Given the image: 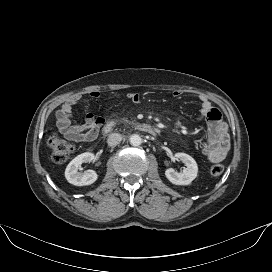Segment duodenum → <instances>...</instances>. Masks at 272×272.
Here are the masks:
<instances>
[{"label":"duodenum","instance_id":"duodenum-1","mask_svg":"<svg viewBox=\"0 0 272 272\" xmlns=\"http://www.w3.org/2000/svg\"><path fill=\"white\" fill-rule=\"evenodd\" d=\"M117 126V122L114 121V120H109L105 123V125L103 126L102 128V132L103 134H109L110 132H112L115 127ZM133 126L142 131V132H145V133H148V134H151V135H156L157 134V129L150 125V124H147V123H142V122H136V123H133Z\"/></svg>","mask_w":272,"mask_h":272}]
</instances>
